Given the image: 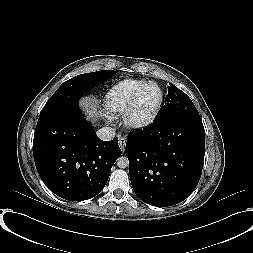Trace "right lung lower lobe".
<instances>
[{
	"instance_id": "right-lung-lower-lobe-1",
	"label": "right lung lower lobe",
	"mask_w": 253,
	"mask_h": 253,
	"mask_svg": "<svg viewBox=\"0 0 253 253\" xmlns=\"http://www.w3.org/2000/svg\"><path fill=\"white\" fill-rule=\"evenodd\" d=\"M120 155L118 139H99L78 103L39 117L33 140L35 165L45 185L61 198L83 201L99 194Z\"/></svg>"
}]
</instances>
